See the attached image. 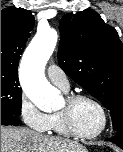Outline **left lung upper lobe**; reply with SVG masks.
Returning a JSON list of instances; mask_svg holds the SVG:
<instances>
[{
  "instance_id": "obj_1",
  "label": "left lung upper lobe",
  "mask_w": 123,
  "mask_h": 152,
  "mask_svg": "<svg viewBox=\"0 0 123 152\" xmlns=\"http://www.w3.org/2000/svg\"><path fill=\"white\" fill-rule=\"evenodd\" d=\"M60 67L109 111L123 136V44L94 10L67 13L60 21Z\"/></svg>"
}]
</instances>
